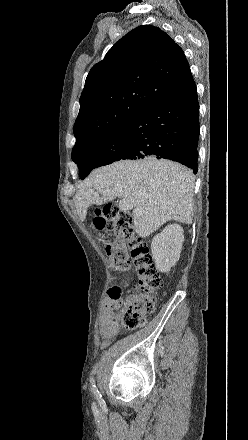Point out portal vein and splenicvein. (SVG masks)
Here are the masks:
<instances>
[{"mask_svg":"<svg viewBox=\"0 0 248 440\" xmlns=\"http://www.w3.org/2000/svg\"><path fill=\"white\" fill-rule=\"evenodd\" d=\"M119 207L125 211L131 210L133 208V201L121 199L119 202Z\"/></svg>","mask_w":248,"mask_h":440,"instance_id":"1","label":"portal vein and splenic vein"}]
</instances>
